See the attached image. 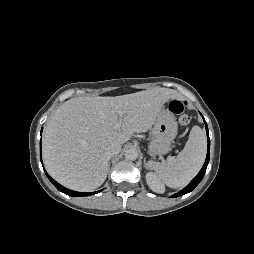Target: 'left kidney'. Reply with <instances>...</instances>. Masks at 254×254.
<instances>
[{"label": "left kidney", "instance_id": "left-kidney-1", "mask_svg": "<svg viewBox=\"0 0 254 254\" xmlns=\"http://www.w3.org/2000/svg\"><path fill=\"white\" fill-rule=\"evenodd\" d=\"M146 181H147V184L149 186V188L156 192V193H164L165 191V187L163 185V183L161 182L160 178L152 173V172H148L146 174Z\"/></svg>", "mask_w": 254, "mask_h": 254}]
</instances>
